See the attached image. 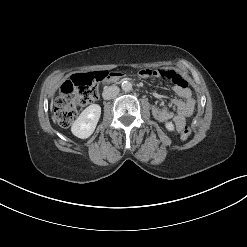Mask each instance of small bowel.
Masks as SVG:
<instances>
[{"label": "small bowel", "instance_id": "small-bowel-1", "mask_svg": "<svg viewBox=\"0 0 247 247\" xmlns=\"http://www.w3.org/2000/svg\"><path fill=\"white\" fill-rule=\"evenodd\" d=\"M141 78L159 77L169 80L174 84V92L181 97V100H173L175 112L166 108L153 107L152 114L160 122L172 120L177 130H180L187 119L194 113L195 100L193 93L188 87L187 81L176 71L160 68V69H142L138 72ZM121 77L119 73H113L111 79Z\"/></svg>", "mask_w": 247, "mask_h": 247}]
</instances>
